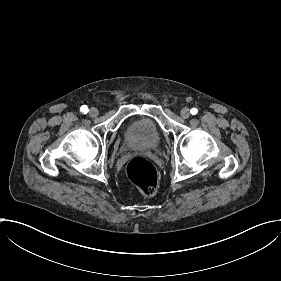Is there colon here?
Returning a JSON list of instances; mask_svg holds the SVG:
<instances>
[{
  "mask_svg": "<svg viewBox=\"0 0 281 281\" xmlns=\"http://www.w3.org/2000/svg\"><path fill=\"white\" fill-rule=\"evenodd\" d=\"M127 176L143 192H152L158 186V176L153 165L141 156H134L127 164Z\"/></svg>",
  "mask_w": 281,
  "mask_h": 281,
  "instance_id": "1",
  "label": "colon"
}]
</instances>
